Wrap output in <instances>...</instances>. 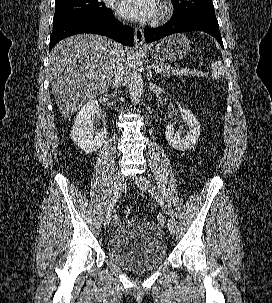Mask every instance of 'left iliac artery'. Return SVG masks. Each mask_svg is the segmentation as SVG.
Masks as SVG:
<instances>
[{
  "mask_svg": "<svg viewBox=\"0 0 272 303\" xmlns=\"http://www.w3.org/2000/svg\"><path fill=\"white\" fill-rule=\"evenodd\" d=\"M153 189H155V188H153ZM157 200H158L159 205L162 208H164V202H163L162 198L159 195H157ZM166 218H167V224L172 225L173 221H172L171 213H166Z\"/></svg>",
  "mask_w": 272,
  "mask_h": 303,
  "instance_id": "left-iliac-artery-1",
  "label": "left iliac artery"
}]
</instances>
